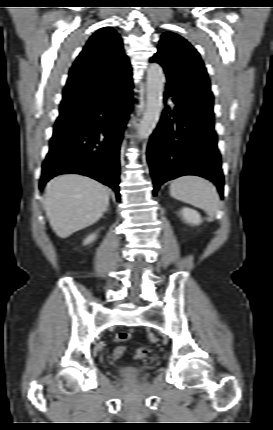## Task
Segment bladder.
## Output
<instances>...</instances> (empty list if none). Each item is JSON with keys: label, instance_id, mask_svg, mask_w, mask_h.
Wrapping results in <instances>:
<instances>
[{"label": "bladder", "instance_id": "1", "mask_svg": "<svg viewBox=\"0 0 273 430\" xmlns=\"http://www.w3.org/2000/svg\"><path fill=\"white\" fill-rule=\"evenodd\" d=\"M143 368L139 366H123L119 369V373L126 379H134L143 373Z\"/></svg>", "mask_w": 273, "mask_h": 430}]
</instances>
